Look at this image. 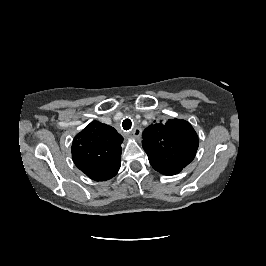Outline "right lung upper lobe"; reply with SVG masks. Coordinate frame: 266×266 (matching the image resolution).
<instances>
[{"instance_id": "obj_1", "label": "right lung upper lobe", "mask_w": 266, "mask_h": 266, "mask_svg": "<svg viewBox=\"0 0 266 266\" xmlns=\"http://www.w3.org/2000/svg\"><path fill=\"white\" fill-rule=\"evenodd\" d=\"M122 142L123 137L115 128L93 121L73 140V162L89 178L109 180L120 169Z\"/></svg>"}]
</instances>
